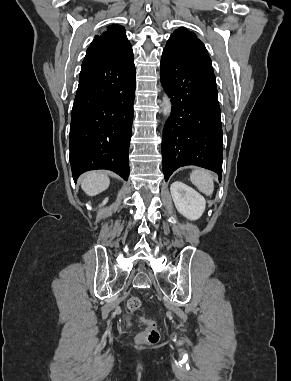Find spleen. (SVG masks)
<instances>
[{
  "label": "spleen",
  "mask_w": 291,
  "mask_h": 381,
  "mask_svg": "<svg viewBox=\"0 0 291 381\" xmlns=\"http://www.w3.org/2000/svg\"><path fill=\"white\" fill-rule=\"evenodd\" d=\"M191 182L205 195L211 196L214 191L212 174L204 169H196L190 174Z\"/></svg>",
  "instance_id": "3e777b00"
}]
</instances>
